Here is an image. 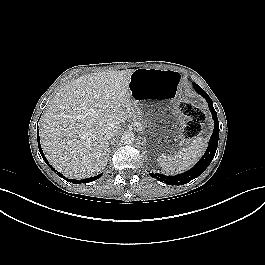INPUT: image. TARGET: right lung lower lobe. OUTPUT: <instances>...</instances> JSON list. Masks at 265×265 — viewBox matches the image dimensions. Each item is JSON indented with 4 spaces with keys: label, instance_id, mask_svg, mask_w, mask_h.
<instances>
[{
    "label": "right lung lower lobe",
    "instance_id": "obj_1",
    "mask_svg": "<svg viewBox=\"0 0 265 265\" xmlns=\"http://www.w3.org/2000/svg\"><path fill=\"white\" fill-rule=\"evenodd\" d=\"M38 135V147H39V150H40V153L42 155V158L44 159V161L47 163V165L54 171L56 172L60 177H63V179H66L62 174H60L59 172H57L47 161V159L45 158L44 154H43V151L41 149V145H40V140H39V134ZM101 177V174L97 175V176H94V177H91V178H87V179H83V180H73V179H66L68 180L69 182H72L74 184H80V183H88V182H92L98 178Z\"/></svg>",
    "mask_w": 265,
    "mask_h": 265
}]
</instances>
